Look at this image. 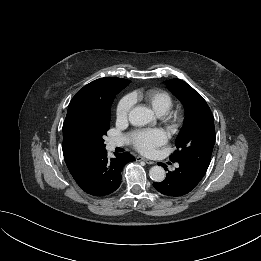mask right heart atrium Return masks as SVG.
Segmentation results:
<instances>
[{"instance_id": "d8ad5b80", "label": "right heart atrium", "mask_w": 261, "mask_h": 261, "mask_svg": "<svg viewBox=\"0 0 261 261\" xmlns=\"http://www.w3.org/2000/svg\"><path fill=\"white\" fill-rule=\"evenodd\" d=\"M133 107V100L130 96L123 97L116 107V118L119 122H125L128 120L130 112Z\"/></svg>"}]
</instances>
